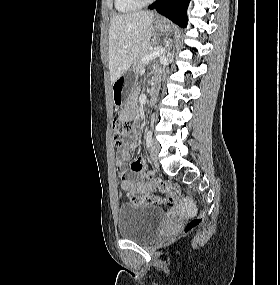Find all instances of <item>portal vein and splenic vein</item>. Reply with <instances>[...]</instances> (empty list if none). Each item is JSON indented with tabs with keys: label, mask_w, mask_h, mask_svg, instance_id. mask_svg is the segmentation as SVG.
Masks as SVG:
<instances>
[{
	"label": "portal vein and splenic vein",
	"mask_w": 280,
	"mask_h": 285,
	"mask_svg": "<svg viewBox=\"0 0 280 285\" xmlns=\"http://www.w3.org/2000/svg\"><path fill=\"white\" fill-rule=\"evenodd\" d=\"M165 51L164 48H160V49H157V50H154L152 53L150 54H147L145 55L143 58H142V63L143 64H146L148 63L149 61L159 57L161 54H163Z\"/></svg>",
	"instance_id": "obj_1"
}]
</instances>
